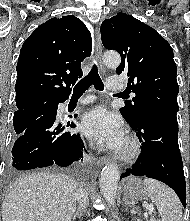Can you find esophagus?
Masks as SVG:
<instances>
[{"label": "esophagus", "instance_id": "1", "mask_svg": "<svg viewBox=\"0 0 190 221\" xmlns=\"http://www.w3.org/2000/svg\"><path fill=\"white\" fill-rule=\"evenodd\" d=\"M101 56H102L101 36H100V31H99L98 27H96L95 38H94V58H95L96 62L99 64V68H100L101 73L105 74L106 69L102 63ZM99 161L101 164L110 163V159L108 157H101Z\"/></svg>", "mask_w": 190, "mask_h": 221}]
</instances>
